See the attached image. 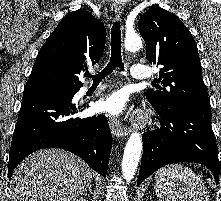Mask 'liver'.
I'll use <instances>...</instances> for the list:
<instances>
[{
    "label": "liver",
    "instance_id": "6515ba94",
    "mask_svg": "<svg viewBox=\"0 0 221 201\" xmlns=\"http://www.w3.org/2000/svg\"><path fill=\"white\" fill-rule=\"evenodd\" d=\"M92 171L76 155L61 149L39 150L14 170V201H75L91 187Z\"/></svg>",
    "mask_w": 221,
    "mask_h": 201
}]
</instances>
